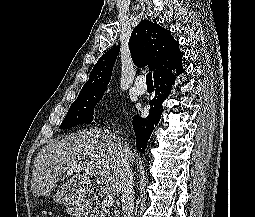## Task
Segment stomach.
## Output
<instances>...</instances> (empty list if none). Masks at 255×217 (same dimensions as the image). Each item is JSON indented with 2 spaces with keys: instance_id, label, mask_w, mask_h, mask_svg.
Segmentation results:
<instances>
[{
  "instance_id": "1",
  "label": "stomach",
  "mask_w": 255,
  "mask_h": 217,
  "mask_svg": "<svg viewBox=\"0 0 255 217\" xmlns=\"http://www.w3.org/2000/svg\"><path fill=\"white\" fill-rule=\"evenodd\" d=\"M89 209V204L85 200L66 204V212L73 217H83Z\"/></svg>"
}]
</instances>
